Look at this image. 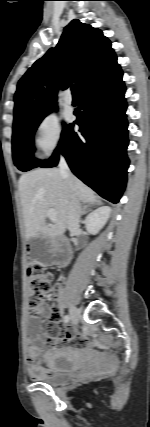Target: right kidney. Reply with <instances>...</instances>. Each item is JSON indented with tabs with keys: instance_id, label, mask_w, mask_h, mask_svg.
Wrapping results in <instances>:
<instances>
[{
	"instance_id": "ca27d5eb",
	"label": "right kidney",
	"mask_w": 150,
	"mask_h": 427,
	"mask_svg": "<svg viewBox=\"0 0 150 427\" xmlns=\"http://www.w3.org/2000/svg\"><path fill=\"white\" fill-rule=\"evenodd\" d=\"M111 214L109 206H102L91 212L85 219V226L90 234H97L107 223Z\"/></svg>"
}]
</instances>
